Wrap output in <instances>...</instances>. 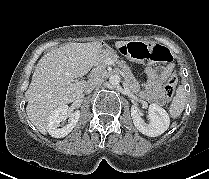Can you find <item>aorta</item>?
<instances>
[{
  "label": "aorta",
  "mask_w": 209,
  "mask_h": 179,
  "mask_svg": "<svg viewBox=\"0 0 209 179\" xmlns=\"http://www.w3.org/2000/svg\"><path fill=\"white\" fill-rule=\"evenodd\" d=\"M109 83L112 86L118 85L120 83V77L118 75H112V76H110Z\"/></svg>",
  "instance_id": "aorta-1"
}]
</instances>
